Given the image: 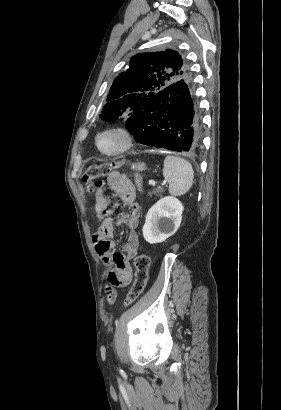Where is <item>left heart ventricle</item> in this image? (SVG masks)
Returning a JSON list of instances; mask_svg holds the SVG:
<instances>
[{
  "instance_id": "left-heart-ventricle-1",
  "label": "left heart ventricle",
  "mask_w": 281,
  "mask_h": 410,
  "mask_svg": "<svg viewBox=\"0 0 281 410\" xmlns=\"http://www.w3.org/2000/svg\"><path fill=\"white\" fill-rule=\"evenodd\" d=\"M120 140L113 135H105L100 140V145L104 150H112L118 147Z\"/></svg>"
}]
</instances>
